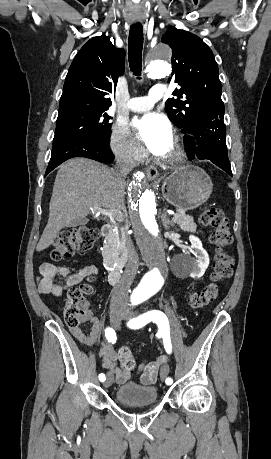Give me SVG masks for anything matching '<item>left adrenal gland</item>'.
<instances>
[{"label":"left adrenal gland","instance_id":"1","mask_svg":"<svg viewBox=\"0 0 271 459\" xmlns=\"http://www.w3.org/2000/svg\"><path fill=\"white\" fill-rule=\"evenodd\" d=\"M161 220L165 229H169L171 228V226H174V222H172V220H169L167 212H165V210L164 212H162Z\"/></svg>","mask_w":271,"mask_h":459}]
</instances>
